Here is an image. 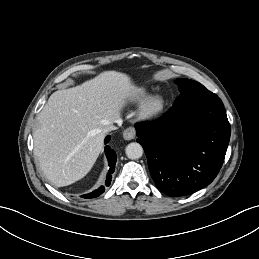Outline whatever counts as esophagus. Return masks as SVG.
<instances>
[{
	"instance_id": "34e87169",
	"label": "esophagus",
	"mask_w": 259,
	"mask_h": 259,
	"mask_svg": "<svg viewBox=\"0 0 259 259\" xmlns=\"http://www.w3.org/2000/svg\"><path fill=\"white\" fill-rule=\"evenodd\" d=\"M135 137H136V130L133 126H130L123 131V138L125 140H132Z\"/></svg>"
}]
</instances>
